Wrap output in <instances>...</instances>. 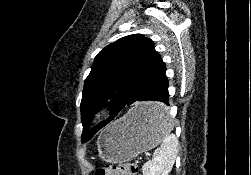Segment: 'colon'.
Masks as SVG:
<instances>
[{
	"instance_id": "5ec220e1",
	"label": "colon",
	"mask_w": 251,
	"mask_h": 175,
	"mask_svg": "<svg viewBox=\"0 0 251 175\" xmlns=\"http://www.w3.org/2000/svg\"><path fill=\"white\" fill-rule=\"evenodd\" d=\"M139 166L134 162L107 165L97 170L96 175H136Z\"/></svg>"
}]
</instances>
